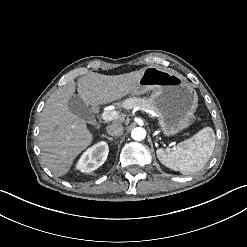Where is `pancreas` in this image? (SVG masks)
Here are the masks:
<instances>
[{
    "label": "pancreas",
    "instance_id": "pancreas-1",
    "mask_svg": "<svg viewBox=\"0 0 247 247\" xmlns=\"http://www.w3.org/2000/svg\"><path fill=\"white\" fill-rule=\"evenodd\" d=\"M123 109L131 110L138 108L150 116V112L154 111V106L149 98L129 97L118 103Z\"/></svg>",
    "mask_w": 247,
    "mask_h": 247
}]
</instances>
